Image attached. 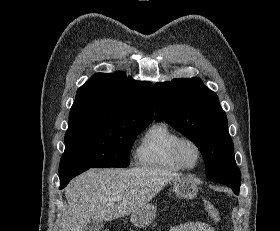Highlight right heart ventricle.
<instances>
[{
  "label": "right heart ventricle",
  "instance_id": "1",
  "mask_svg": "<svg viewBox=\"0 0 280 231\" xmlns=\"http://www.w3.org/2000/svg\"><path fill=\"white\" fill-rule=\"evenodd\" d=\"M181 135L166 121L150 125L135 150L136 163L168 171L182 170L173 157V147Z\"/></svg>",
  "mask_w": 280,
  "mask_h": 231
}]
</instances>
